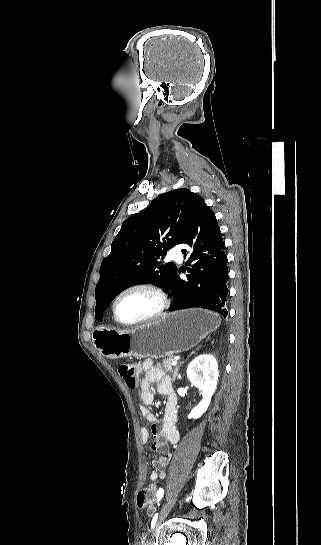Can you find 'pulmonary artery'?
<instances>
[{
  "label": "pulmonary artery",
  "instance_id": "1",
  "mask_svg": "<svg viewBox=\"0 0 321 545\" xmlns=\"http://www.w3.org/2000/svg\"><path fill=\"white\" fill-rule=\"evenodd\" d=\"M170 252H171V254H169V257H170L171 259H174V260L177 261V262H181V261H182V255H181L180 253L178 254L179 251H178L177 248H175V247L172 248Z\"/></svg>",
  "mask_w": 321,
  "mask_h": 545
}]
</instances>
